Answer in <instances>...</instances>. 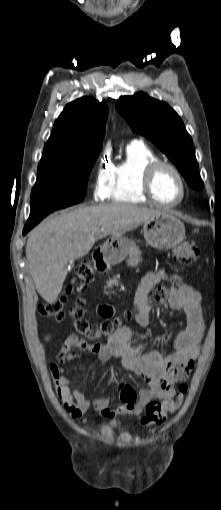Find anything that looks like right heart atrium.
Masks as SVG:
<instances>
[{
	"mask_svg": "<svg viewBox=\"0 0 221 510\" xmlns=\"http://www.w3.org/2000/svg\"><path fill=\"white\" fill-rule=\"evenodd\" d=\"M112 169L106 156L101 157L93 186V194L97 201H104L109 197L111 187Z\"/></svg>",
	"mask_w": 221,
	"mask_h": 510,
	"instance_id": "d8ad5b80",
	"label": "right heart atrium"
}]
</instances>
